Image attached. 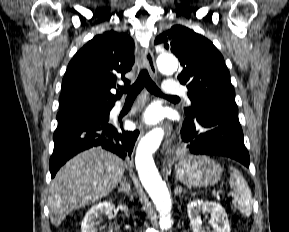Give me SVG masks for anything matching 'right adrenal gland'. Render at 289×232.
Wrapping results in <instances>:
<instances>
[{"mask_svg": "<svg viewBox=\"0 0 289 232\" xmlns=\"http://www.w3.org/2000/svg\"><path fill=\"white\" fill-rule=\"evenodd\" d=\"M118 192H123L129 195L130 193V184L127 183L126 178L123 177V181L120 183V187L118 189Z\"/></svg>", "mask_w": 289, "mask_h": 232, "instance_id": "2a0ac1e0", "label": "right adrenal gland"}]
</instances>
